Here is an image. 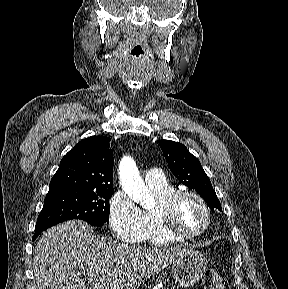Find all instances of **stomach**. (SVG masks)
Returning a JSON list of instances; mask_svg holds the SVG:
<instances>
[{
  "label": "stomach",
  "instance_id": "stomach-1",
  "mask_svg": "<svg viewBox=\"0 0 288 289\" xmlns=\"http://www.w3.org/2000/svg\"><path fill=\"white\" fill-rule=\"evenodd\" d=\"M205 256L198 251H189L173 263L172 275L175 283L190 287L197 284L207 269Z\"/></svg>",
  "mask_w": 288,
  "mask_h": 289
}]
</instances>
